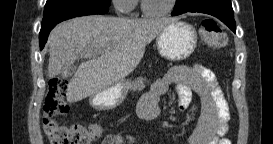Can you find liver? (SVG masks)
<instances>
[{
    "label": "liver",
    "mask_w": 273,
    "mask_h": 144,
    "mask_svg": "<svg viewBox=\"0 0 273 144\" xmlns=\"http://www.w3.org/2000/svg\"><path fill=\"white\" fill-rule=\"evenodd\" d=\"M175 21L90 15L60 23L49 35L48 76L59 75L82 56L87 61L68 83L66 99L73 103L94 95L124 80L138 66L146 45Z\"/></svg>",
    "instance_id": "6515ba94"
}]
</instances>
